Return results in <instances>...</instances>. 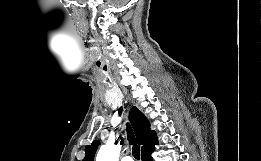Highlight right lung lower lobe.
Returning <instances> with one entry per match:
<instances>
[{
  "label": "right lung lower lobe",
  "mask_w": 261,
  "mask_h": 161,
  "mask_svg": "<svg viewBox=\"0 0 261 161\" xmlns=\"http://www.w3.org/2000/svg\"><path fill=\"white\" fill-rule=\"evenodd\" d=\"M152 152H153V150L148 152V153L143 154L142 157H141L142 161H152V158H151Z\"/></svg>",
  "instance_id": "obj_1"
}]
</instances>
